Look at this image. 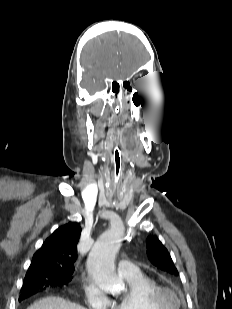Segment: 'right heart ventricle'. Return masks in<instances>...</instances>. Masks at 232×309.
I'll use <instances>...</instances> for the list:
<instances>
[{"mask_svg":"<svg viewBox=\"0 0 232 309\" xmlns=\"http://www.w3.org/2000/svg\"><path fill=\"white\" fill-rule=\"evenodd\" d=\"M128 291L120 298L111 301L110 309H155L148 300L149 293L157 284L142 272L124 277Z\"/></svg>","mask_w":232,"mask_h":309,"instance_id":"1","label":"right heart ventricle"}]
</instances>
